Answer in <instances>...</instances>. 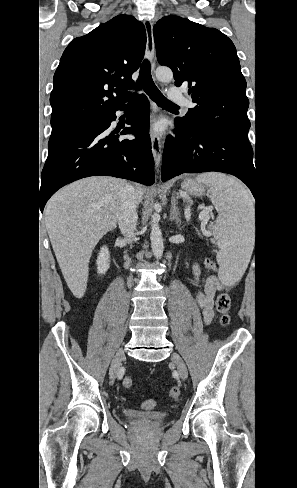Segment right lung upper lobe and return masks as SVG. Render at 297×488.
Here are the masks:
<instances>
[{"label": "right lung upper lobe", "mask_w": 297, "mask_h": 488, "mask_svg": "<svg viewBox=\"0 0 297 488\" xmlns=\"http://www.w3.org/2000/svg\"><path fill=\"white\" fill-rule=\"evenodd\" d=\"M144 25L119 15L65 49L50 96L52 133L102 118L130 98L132 74L144 56Z\"/></svg>", "instance_id": "cb5924a9"}]
</instances>
